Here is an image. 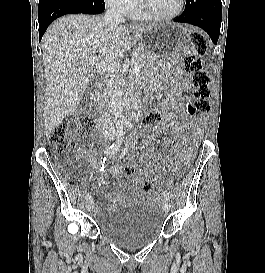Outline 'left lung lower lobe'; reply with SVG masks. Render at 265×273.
Segmentation results:
<instances>
[{
    "mask_svg": "<svg viewBox=\"0 0 265 273\" xmlns=\"http://www.w3.org/2000/svg\"><path fill=\"white\" fill-rule=\"evenodd\" d=\"M222 19L221 0H191L174 22L190 23L204 29L217 44Z\"/></svg>",
    "mask_w": 265,
    "mask_h": 273,
    "instance_id": "obj_1",
    "label": "left lung lower lobe"
}]
</instances>
